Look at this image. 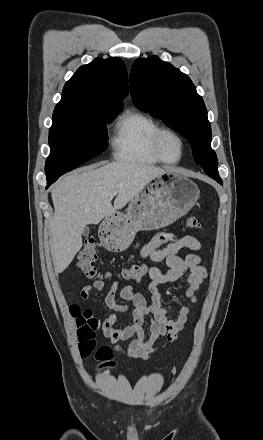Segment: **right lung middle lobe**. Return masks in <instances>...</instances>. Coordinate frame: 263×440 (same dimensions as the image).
<instances>
[{"instance_id": "1", "label": "right lung middle lobe", "mask_w": 263, "mask_h": 440, "mask_svg": "<svg viewBox=\"0 0 263 440\" xmlns=\"http://www.w3.org/2000/svg\"><path fill=\"white\" fill-rule=\"evenodd\" d=\"M118 113H93L71 119H53L49 131L50 155L46 160L48 180H57L104 151L107 146L106 124Z\"/></svg>"}]
</instances>
